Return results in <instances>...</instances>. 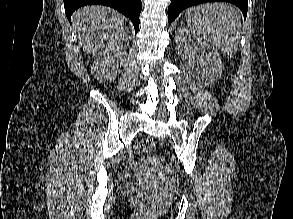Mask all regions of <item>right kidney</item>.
Here are the masks:
<instances>
[{
    "label": "right kidney",
    "mask_w": 293,
    "mask_h": 219,
    "mask_svg": "<svg viewBox=\"0 0 293 219\" xmlns=\"http://www.w3.org/2000/svg\"><path fill=\"white\" fill-rule=\"evenodd\" d=\"M122 65V55L108 54L94 61L91 73L99 82H111L120 74Z\"/></svg>",
    "instance_id": "ca27d5eb"
}]
</instances>
